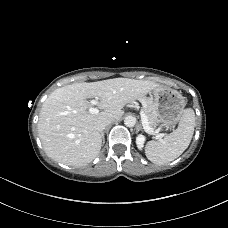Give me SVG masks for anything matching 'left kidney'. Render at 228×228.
I'll list each match as a JSON object with an SVG mask.
<instances>
[{"label": "left kidney", "mask_w": 228, "mask_h": 228, "mask_svg": "<svg viewBox=\"0 0 228 228\" xmlns=\"http://www.w3.org/2000/svg\"><path fill=\"white\" fill-rule=\"evenodd\" d=\"M145 139H146L145 136H143L141 134L136 137V144H137L138 149L141 150L143 148Z\"/></svg>", "instance_id": "obj_1"}]
</instances>
